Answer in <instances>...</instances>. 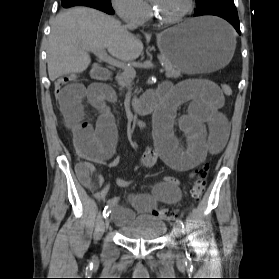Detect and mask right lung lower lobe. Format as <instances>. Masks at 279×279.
I'll return each instance as SVG.
<instances>
[{
  "instance_id": "1",
  "label": "right lung lower lobe",
  "mask_w": 279,
  "mask_h": 279,
  "mask_svg": "<svg viewBox=\"0 0 279 279\" xmlns=\"http://www.w3.org/2000/svg\"><path fill=\"white\" fill-rule=\"evenodd\" d=\"M62 6L64 8L72 7V6H88L92 8L99 9L108 14H114V10L112 7L105 6L99 0H61Z\"/></svg>"
}]
</instances>
